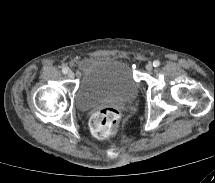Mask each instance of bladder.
Listing matches in <instances>:
<instances>
[{
  "instance_id": "obj_1",
  "label": "bladder",
  "mask_w": 215,
  "mask_h": 183,
  "mask_svg": "<svg viewBox=\"0 0 215 183\" xmlns=\"http://www.w3.org/2000/svg\"><path fill=\"white\" fill-rule=\"evenodd\" d=\"M79 82L74 95L80 111L113 101H127L139 90L132 67L124 60L89 57L78 64Z\"/></svg>"
}]
</instances>
